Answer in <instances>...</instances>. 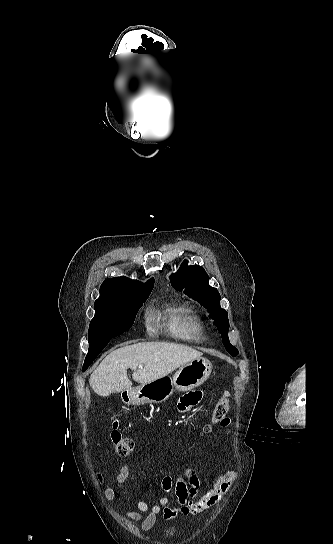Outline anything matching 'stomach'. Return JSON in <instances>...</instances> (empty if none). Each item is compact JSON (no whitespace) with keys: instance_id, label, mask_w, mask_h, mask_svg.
I'll use <instances>...</instances> for the list:
<instances>
[{"instance_id":"obj_1","label":"stomach","mask_w":333,"mask_h":544,"mask_svg":"<svg viewBox=\"0 0 333 544\" xmlns=\"http://www.w3.org/2000/svg\"><path fill=\"white\" fill-rule=\"evenodd\" d=\"M212 364L205 358L192 360L179 368L173 376L161 377L126 391L124 401L132 405L162 403L170 398L174 389L188 391L203 384L210 376Z\"/></svg>"}]
</instances>
